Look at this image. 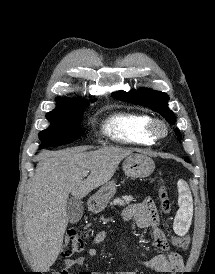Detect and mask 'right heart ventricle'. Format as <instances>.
I'll use <instances>...</instances> for the list:
<instances>
[{"label": "right heart ventricle", "instance_id": "obj_1", "mask_svg": "<svg viewBox=\"0 0 215 274\" xmlns=\"http://www.w3.org/2000/svg\"><path fill=\"white\" fill-rule=\"evenodd\" d=\"M151 117L147 114L119 111L110 115L102 125V132L111 140L136 145H152L154 139L148 133Z\"/></svg>", "mask_w": 215, "mask_h": 274}]
</instances>
